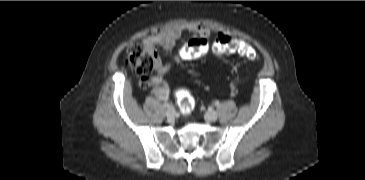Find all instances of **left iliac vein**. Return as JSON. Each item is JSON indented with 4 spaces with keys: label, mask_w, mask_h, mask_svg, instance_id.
Masks as SVG:
<instances>
[{
    "label": "left iliac vein",
    "mask_w": 365,
    "mask_h": 180,
    "mask_svg": "<svg viewBox=\"0 0 365 180\" xmlns=\"http://www.w3.org/2000/svg\"><path fill=\"white\" fill-rule=\"evenodd\" d=\"M206 119L207 120H209V121H211V122H214V121H216L217 120V118H218V114H217V112L216 111H214V110H208L207 112H206Z\"/></svg>",
    "instance_id": "left-iliac-vein-1"
}]
</instances>
